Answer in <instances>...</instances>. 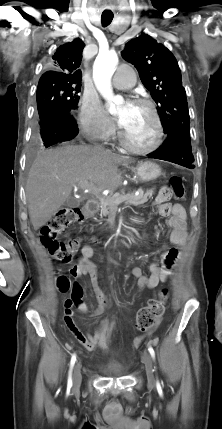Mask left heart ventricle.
I'll return each mask as SVG.
<instances>
[{
	"label": "left heart ventricle",
	"instance_id": "obj_1",
	"mask_svg": "<svg viewBox=\"0 0 222 429\" xmlns=\"http://www.w3.org/2000/svg\"><path fill=\"white\" fill-rule=\"evenodd\" d=\"M124 113V106L120 114ZM128 140L139 147L150 145L155 136V128L152 116L147 107L133 103L131 110L126 114L122 127Z\"/></svg>",
	"mask_w": 222,
	"mask_h": 429
}]
</instances>
